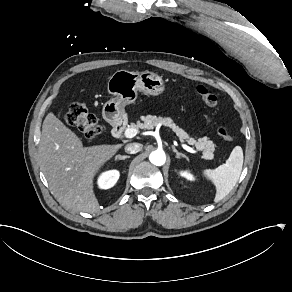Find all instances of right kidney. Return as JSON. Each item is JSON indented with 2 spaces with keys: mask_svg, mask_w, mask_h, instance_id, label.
I'll return each instance as SVG.
<instances>
[{
  "mask_svg": "<svg viewBox=\"0 0 292 292\" xmlns=\"http://www.w3.org/2000/svg\"><path fill=\"white\" fill-rule=\"evenodd\" d=\"M120 177V173L118 170H109L103 172L97 181L98 187L100 189H109L113 187Z\"/></svg>",
  "mask_w": 292,
  "mask_h": 292,
  "instance_id": "ca27d5eb",
  "label": "right kidney"
}]
</instances>
